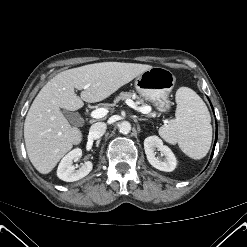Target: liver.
<instances>
[{
	"mask_svg": "<svg viewBox=\"0 0 247 247\" xmlns=\"http://www.w3.org/2000/svg\"><path fill=\"white\" fill-rule=\"evenodd\" d=\"M150 68L136 63H94L63 71L48 81L24 123L27 154L36 170L48 174L73 145L82 141L80 129L69 124L61 108L75 111L83 107V101H102ZM74 88L82 90L80 97Z\"/></svg>",
	"mask_w": 247,
	"mask_h": 247,
	"instance_id": "1",
	"label": "liver"
}]
</instances>
